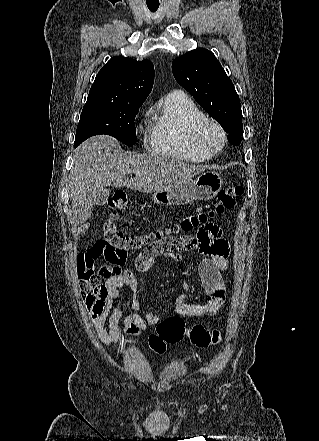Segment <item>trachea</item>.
Returning a JSON list of instances; mask_svg holds the SVG:
<instances>
[{
	"label": "trachea",
	"mask_w": 319,
	"mask_h": 441,
	"mask_svg": "<svg viewBox=\"0 0 319 441\" xmlns=\"http://www.w3.org/2000/svg\"><path fill=\"white\" fill-rule=\"evenodd\" d=\"M159 5H148V8L151 12H155L158 9Z\"/></svg>",
	"instance_id": "3493384b"
}]
</instances>
